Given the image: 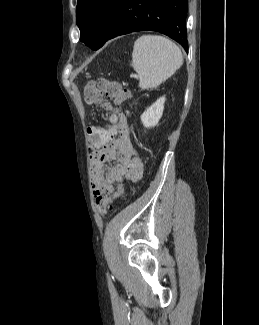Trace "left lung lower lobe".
I'll return each instance as SVG.
<instances>
[{
  "mask_svg": "<svg viewBox=\"0 0 259 325\" xmlns=\"http://www.w3.org/2000/svg\"><path fill=\"white\" fill-rule=\"evenodd\" d=\"M187 13L188 0H122L104 44L119 35L152 30L171 37L187 51Z\"/></svg>",
  "mask_w": 259,
  "mask_h": 325,
  "instance_id": "left-lung-lower-lobe-1",
  "label": "left lung lower lobe"
}]
</instances>
